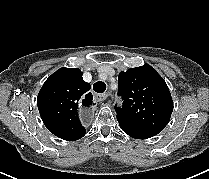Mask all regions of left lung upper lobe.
Here are the masks:
<instances>
[{
    "label": "left lung upper lobe",
    "instance_id": "left-lung-upper-lobe-1",
    "mask_svg": "<svg viewBox=\"0 0 209 179\" xmlns=\"http://www.w3.org/2000/svg\"><path fill=\"white\" fill-rule=\"evenodd\" d=\"M118 95L122 108L115 107L117 117L159 133L169 122L173 100L163 78L148 64L120 72Z\"/></svg>",
    "mask_w": 209,
    "mask_h": 179
}]
</instances>
